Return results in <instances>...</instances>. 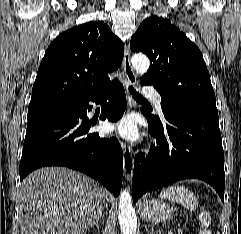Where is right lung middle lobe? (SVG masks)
<instances>
[{"mask_svg": "<svg viewBox=\"0 0 241 234\" xmlns=\"http://www.w3.org/2000/svg\"><path fill=\"white\" fill-rule=\"evenodd\" d=\"M72 105L73 104H69V103H41V104L29 105L28 115L61 110V109L68 108Z\"/></svg>", "mask_w": 241, "mask_h": 234, "instance_id": "right-lung-middle-lobe-1", "label": "right lung middle lobe"}]
</instances>
